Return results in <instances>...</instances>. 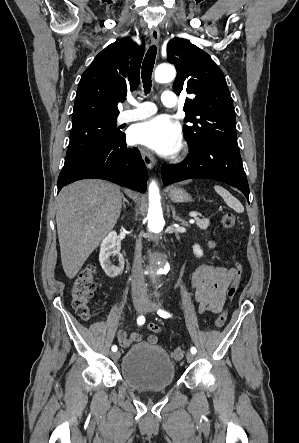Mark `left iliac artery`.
<instances>
[{
  "label": "left iliac artery",
  "instance_id": "left-iliac-artery-1",
  "mask_svg": "<svg viewBox=\"0 0 299 443\" xmlns=\"http://www.w3.org/2000/svg\"><path fill=\"white\" fill-rule=\"evenodd\" d=\"M157 314H158L160 317H163V318H169V317H171V314H170V313H168L167 311L162 310V309H159V310L157 311ZM196 352H197L196 348H195V347H191V353L196 354Z\"/></svg>",
  "mask_w": 299,
  "mask_h": 443
}]
</instances>
